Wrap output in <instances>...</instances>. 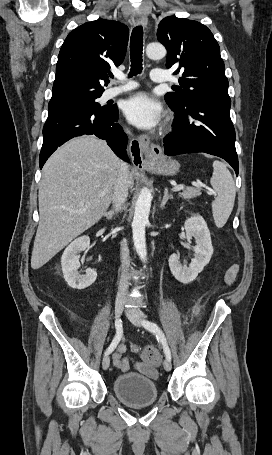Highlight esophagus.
<instances>
[{
    "mask_svg": "<svg viewBox=\"0 0 272 455\" xmlns=\"http://www.w3.org/2000/svg\"><path fill=\"white\" fill-rule=\"evenodd\" d=\"M134 25L147 26V16L143 10L134 13ZM132 162L137 169H143L145 166L159 159L162 155V148L150 141L147 135H140L137 141L132 143Z\"/></svg>",
    "mask_w": 272,
    "mask_h": 455,
    "instance_id": "1",
    "label": "esophagus"
}]
</instances>
